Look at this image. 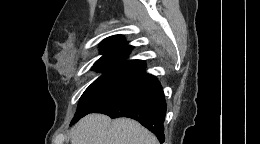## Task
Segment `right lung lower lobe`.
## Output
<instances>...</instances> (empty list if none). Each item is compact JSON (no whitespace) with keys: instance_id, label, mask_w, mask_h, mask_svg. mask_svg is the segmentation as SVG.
<instances>
[{"instance_id":"1","label":"right lung lower lobe","mask_w":260,"mask_h":144,"mask_svg":"<svg viewBox=\"0 0 260 144\" xmlns=\"http://www.w3.org/2000/svg\"><path fill=\"white\" fill-rule=\"evenodd\" d=\"M91 113H102L111 118H132L148 128L161 142L165 140L163 123L166 115V103L164 93L157 78L147 74L144 69ZM78 120L72 121L71 125Z\"/></svg>"}]
</instances>
